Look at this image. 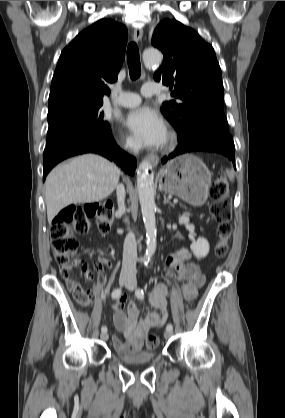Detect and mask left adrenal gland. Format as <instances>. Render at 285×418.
<instances>
[{
  "label": "left adrenal gland",
  "instance_id": "a2214340",
  "mask_svg": "<svg viewBox=\"0 0 285 418\" xmlns=\"http://www.w3.org/2000/svg\"><path fill=\"white\" fill-rule=\"evenodd\" d=\"M169 204V205H171L172 207H174V204L170 201V199H168L167 197H166V195H164V204Z\"/></svg>",
  "mask_w": 285,
  "mask_h": 418
}]
</instances>
